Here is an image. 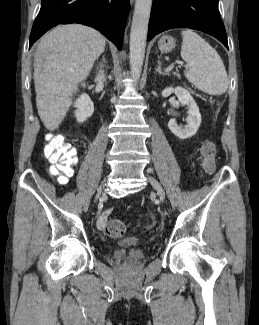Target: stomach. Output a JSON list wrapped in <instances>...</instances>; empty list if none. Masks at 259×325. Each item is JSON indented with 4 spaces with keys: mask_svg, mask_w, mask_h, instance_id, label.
<instances>
[{
    "mask_svg": "<svg viewBox=\"0 0 259 325\" xmlns=\"http://www.w3.org/2000/svg\"><path fill=\"white\" fill-rule=\"evenodd\" d=\"M176 46L175 39L170 35H163L158 41V47L161 52L168 53Z\"/></svg>",
    "mask_w": 259,
    "mask_h": 325,
    "instance_id": "0dacf381",
    "label": "stomach"
}]
</instances>
